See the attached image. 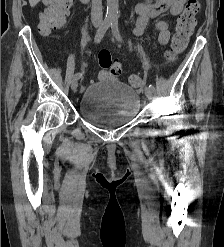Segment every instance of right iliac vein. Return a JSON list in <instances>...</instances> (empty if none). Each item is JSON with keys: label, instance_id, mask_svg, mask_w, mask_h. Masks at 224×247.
<instances>
[{"label": "right iliac vein", "instance_id": "right-iliac-vein-1", "mask_svg": "<svg viewBox=\"0 0 224 247\" xmlns=\"http://www.w3.org/2000/svg\"><path fill=\"white\" fill-rule=\"evenodd\" d=\"M78 86V79L77 78H73L72 82H71V89L75 90Z\"/></svg>", "mask_w": 224, "mask_h": 247}]
</instances>
